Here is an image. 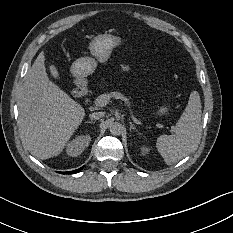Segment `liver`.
<instances>
[{"label":"liver","instance_id":"1","mask_svg":"<svg viewBox=\"0 0 233 233\" xmlns=\"http://www.w3.org/2000/svg\"><path fill=\"white\" fill-rule=\"evenodd\" d=\"M18 124L24 145L36 157L59 155L85 116V109L52 82L40 52L23 82Z\"/></svg>","mask_w":233,"mask_h":233}]
</instances>
